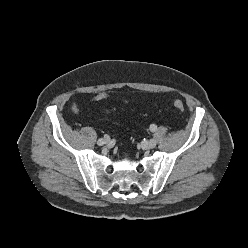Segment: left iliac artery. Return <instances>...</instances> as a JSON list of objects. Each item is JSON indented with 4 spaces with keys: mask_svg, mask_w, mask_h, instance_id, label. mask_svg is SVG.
<instances>
[{
    "mask_svg": "<svg viewBox=\"0 0 248 248\" xmlns=\"http://www.w3.org/2000/svg\"><path fill=\"white\" fill-rule=\"evenodd\" d=\"M150 130H151L152 132H155V131L157 130V126H156L155 124H151V125H150Z\"/></svg>",
    "mask_w": 248,
    "mask_h": 248,
    "instance_id": "left-iliac-artery-1",
    "label": "left iliac artery"
}]
</instances>
